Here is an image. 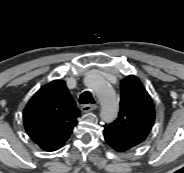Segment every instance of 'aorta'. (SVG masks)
<instances>
[{
	"instance_id": "1",
	"label": "aorta",
	"mask_w": 184,
	"mask_h": 173,
	"mask_svg": "<svg viewBox=\"0 0 184 173\" xmlns=\"http://www.w3.org/2000/svg\"><path fill=\"white\" fill-rule=\"evenodd\" d=\"M87 86L95 92L101 104L100 118L113 122L119 111V102L113 88L97 73L91 72L86 79Z\"/></svg>"
}]
</instances>
